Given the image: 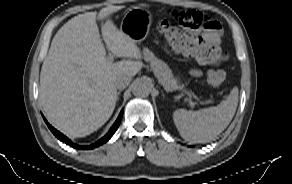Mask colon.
<instances>
[{"label": "colon", "mask_w": 292, "mask_h": 184, "mask_svg": "<svg viewBox=\"0 0 292 184\" xmlns=\"http://www.w3.org/2000/svg\"><path fill=\"white\" fill-rule=\"evenodd\" d=\"M173 17L180 25L192 31L217 27L215 20L194 10L176 11L173 12ZM159 28L173 49L195 57L203 64L216 65L225 59V53L217 45L199 37L186 35L167 21L161 22ZM224 80L225 73L222 70H210L207 73V82L212 87H220Z\"/></svg>", "instance_id": "obj_1"}]
</instances>
